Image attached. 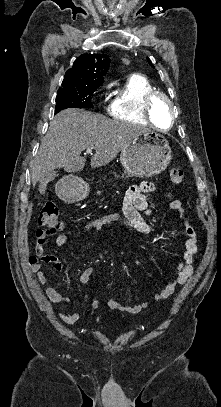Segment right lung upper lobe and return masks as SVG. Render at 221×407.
Listing matches in <instances>:
<instances>
[{"mask_svg": "<svg viewBox=\"0 0 221 407\" xmlns=\"http://www.w3.org/2000/svg\"><path fill=\"white\" fill-rule=\"evenodd\" d=\"M109 56L105 54H83L79 56L67 70L62 87L66 88H98L103 84L104 76L109 68Z\"/></svg>", "mask_w": 221, "mask_h": 407, "instance_id": "cb5924a9", "label": "right lung upper lobe"}]
</instances>
